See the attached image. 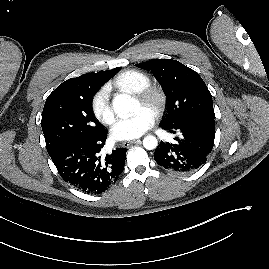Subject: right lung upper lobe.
Wrapping results in <instances>:
<instances>
[{"label":"right lung upper lobe","instance_id":"cb5924a9","mask_svg":"<svg viewBox=\"0 0 269 269\" xmlns=\"http://www.w3.org/2000/svg\"><path fill=\"white\" fill-rule=\"evenodd\" d=\"M118 68H114L112 70L108 71H100L97 73H88L84 74L80 77L77 78H71L63 82L57 87L58 89H64L69 86H74V85H87L92 82H99V81H107L110 77L115 75L117 73Z\"/></svg>","mask_w":269,"mask_h":269}]
</instances>
